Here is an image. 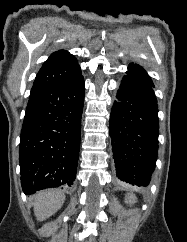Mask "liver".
I'll return each instance as SVG.
<instances>
[{"instance_id": "1", "label": "liver", "mask_w": 187, "mask_h": 242, "mask_svg": "<svg viewBox=\"0 0 187 242\" xmlns=\"http://www.w3.org/2000/svg\"><path fill=\"white\" fill-rule=\"evenodd\" d=\"M65 195L56 189L41 191L35 196L34 213L38 221L46 220L63 205Z\"/></svg>"}]
</instances>
